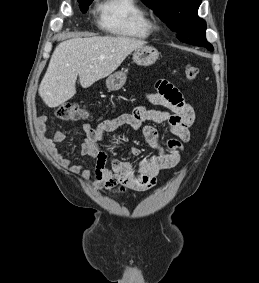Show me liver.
Masks as SVG:
<instances>
[{"mask_svg":"<svg viewBox=\"0 0 259 283\" xmlns=\"http://www.w3.org/2000/svg\"><path fill=\"white\" fill-rule=\"evenodd\" d=\"M146 42L126 36L72 38L58 44L39 86V95L55 108L76 94L79 76L83 88L109 76L125 58Z\"/></svg>","mask_w":259,"mask_h":283,"instance_id":"liver-1","label":"liver"}]
</instances>
